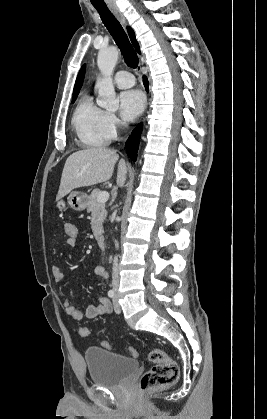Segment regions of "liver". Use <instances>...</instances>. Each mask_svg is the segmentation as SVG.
<instances>
[{
	"instance_id": "obj_1",
	"label": "liver",
	"mask_w": 267,
	"mask_h": 419,
	"mask_svg": "<svg viewBox=\"0 0 267 419\" xmlns=\"http://www.w3.org/2000/svg\"><path fill=\"white\" fill-rule=\"evenodd\" d=\"M119 156L106 147H91L71 154L64 165L56 200L71 190L108 181ZM127 167L124 159L118 163L117 185L122 187L126 180Z\"/></svg>"
}]
</instances>
